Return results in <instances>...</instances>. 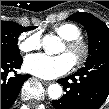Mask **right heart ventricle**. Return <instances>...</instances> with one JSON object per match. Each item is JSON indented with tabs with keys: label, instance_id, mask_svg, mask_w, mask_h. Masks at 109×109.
<instances>
[{
	"label": "right heart ventricle",
	"instance_id": "obj_1",
	"mask_svg": "<svg viewBox=\"0 0 109 109\" xmlns=\"http://www.w3.org/2000/svg\"><path fill=\"white\" fill-rule=\"evenodd\" d=\"M53 32L64 40L81 36V29L78 25L70 22H64L52 27Z\"/></svg>",
	"mask_w": 109,
	"mask_h": 109
}]
</instances>
